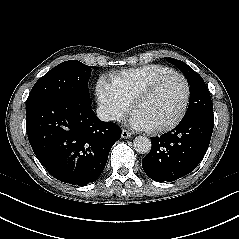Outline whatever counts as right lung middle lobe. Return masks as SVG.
Returning a JSON list of instances; mask_svg holds the SVG:
<instances>
[{
  "instance_id": "1",
  "label": "right lung middle lobe",
  "mask_w": 239,
  "mask_h": 239,
  "mask_svg": "<svg viewBox=\"0 0 239 239\" xmlns=\"http://www.w3.org/2000/svg\"><path fill=\"white\" fill-rule=\"evenodd\" d=\"M92 67L80 61H65L43 77L33 86L26 105L46 99H90L88 81Z\"/></svg>"
}]
</instances>
